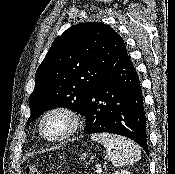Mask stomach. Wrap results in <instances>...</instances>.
<instances>
[{
    "instance_id": "obj_1",
    "label": "stomach",
    "mask_w": 175,
    "mask_h": 174,
    "mask_svg": "<svg viewBox=\"0 0 175 174\" xmlns=\"http://www.w3.org/2000/svg\"><path fill=\"white\" fill-rule=\"evenodd\" d=\"M86 157V153L80 155V159H84Z\"/></svg>"
}]
</instances>
